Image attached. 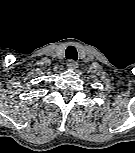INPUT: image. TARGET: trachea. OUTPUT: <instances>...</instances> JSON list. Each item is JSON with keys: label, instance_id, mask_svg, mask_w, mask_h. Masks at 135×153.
Here are the masks:
<instances>
[{"label": "trachea", "instance_id": "obj_1", "mask_svg": "<svg viewBox=\"0 0 135 153\" xmlns=\"http://www.w3.org/2000/svg\"><path fill=\"white\" fill-rule=\"evenodd\" d=\"M66 58L70 59V60H74V61L77 60L78 54H77L76 48L74 46H69L66 49Z\"/></svg>", "mask_w": 135, "mask_h": 153}]
</instances>
